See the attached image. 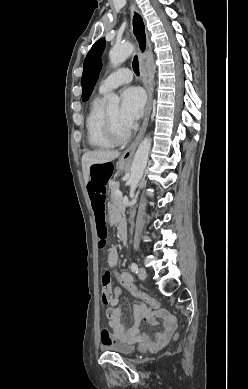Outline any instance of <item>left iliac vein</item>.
Listing matches in <instances>:
<instances>
[{
    "label": "left iliac vein",
    "instance_id": "left-iliac-vein-1",
    "mask_svg": "<svg viewBox=\"0 0 248 389\" xmlns=\"http://www.w3.org/2000/svg\"><path fill=\"white\" fill-rule=\"evenodd\" d=\"M138 277L142 280L146 278V270L143 267L139 268Z\"/></svg>",
    "mask_w": 248,
    "mask_h": 389
}]
</instances>
